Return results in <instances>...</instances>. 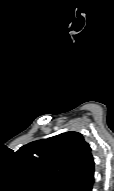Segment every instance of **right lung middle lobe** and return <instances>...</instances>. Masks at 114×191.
Wrapping results in <instances>:
<instances>
[{"label":"right lung middle lobe","instance_id":"dd1d6c3e","mask_svg":"<svg viewBox=\"0 0 114 191\" xmlns=\"http://www.w3.org/2000/svg\"><path fill=\"white\" fill-rule=\"evenodd\" d=\"M45 190H47V191H57L58 189L57 188H45Z\"/></svg>","mask_w":114,"mask_h":191}]
</instances>
